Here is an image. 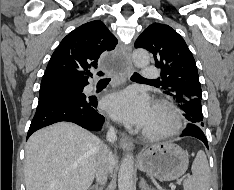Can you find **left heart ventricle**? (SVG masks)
Masks as SVG:
<instances>
[{"mask_svg": "<svg viewBox=\"0 0 234 190\" xmlns=\"http://www.w3.org/2000/svg\"><path fill=\"white\" fill-rule=\"evenodd\" d=\"M167 123H168L167 118L164 115H162L161 113H159L158 111L154 110L153 114L151 116V119L145 128H147V129H160V128L165 127L167 125Z\"/></svg>", "mask_w": 234, "mask_h": 190, "instance_id": "left-heart-ventricle-1", "label": "left heart ventricle"}]
</instances>
